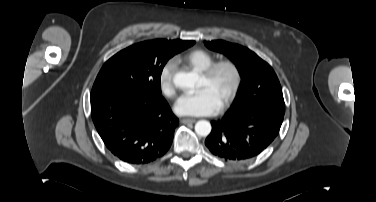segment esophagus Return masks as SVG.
<instances>
[{"label": "esophagus", "instance_id": "esophagus-1", "mask_svg": "<svg viewBox=\"0 0 376 202\" xmlns=\"http://www.w3.org/2000/svg\"><path fill=\"white\" fill-rule=\"evenodd\" d=\"M182 123L184 124H188V123H194L195 122V119H192V118H183L181 120Z\"/></svg>", "mask_w": 376, "mask_h": 202}]
</instances>
